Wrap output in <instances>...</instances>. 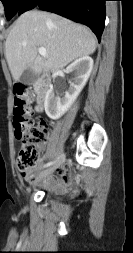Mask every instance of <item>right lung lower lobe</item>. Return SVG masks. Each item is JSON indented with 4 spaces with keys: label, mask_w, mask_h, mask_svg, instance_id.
I'll return each mask as SVG.
<instances>
[{
    "label": "right lung lower lobe",
    "mask_w": 133,
    "mask_h": 253,
    "mask_svg": "<svg viewBox=\"0 0 133 253\" xmlns=\"http://www.w3.org/2000/svg\"><path fill=\"white\" fill-rule=\"evenodd\" d=\"M106 0H25L18 11H25L38 6L40 9L53 12L90 27L100 42L105 24Z\"/></svg>",
    "instance_id": "obj_1"
}]
</instances>
